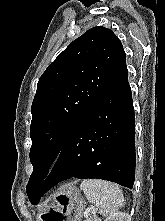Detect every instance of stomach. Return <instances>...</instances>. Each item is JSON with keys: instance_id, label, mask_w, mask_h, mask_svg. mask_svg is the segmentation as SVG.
<instances>
[{"instance_id": "1", "label": "stomach", "mask_w": 165, "mask_h": 221, "mask_svg": "<svg viewBox=\"0 0 165 221\" xmlns=\"http://www.w3.org/2000/svg\"><path fill=\"white\" fill-rule=\"evenodd\" d=\"M85 202L79 190L68 184L61 188L52 200L50 208L40 212V217H68V218H43L41 221H80Z\"/></svg>"}]
</instances>
